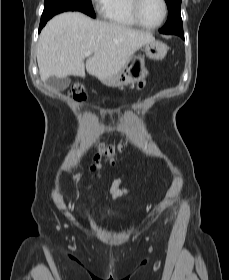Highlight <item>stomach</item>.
Returning <instances> with one entry per match:
<instances>
[{
    "label": "stomach",
    "instance_id": "1",
    "mask_svg": "<svg viewBox=\"0 0 229 280\" xmlns=\"http://www.w3.org/2000/svg\"><path fill=\"white\" fill-rule=\"evenodd\" d=\"M143 49L145 55L154 60H162L167 53V46L160 41L146 43ZM147 75L144 57L132 56L117 74L100 81L108 87H123L139 82Z\"/></svg>",
    "mask_w": 229,
    "mask_h": 280
}]
</instances>
